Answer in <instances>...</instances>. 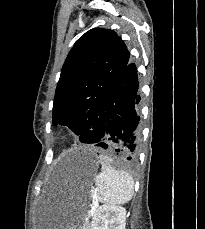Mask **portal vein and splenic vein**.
<instances>
[{"label": "portal vein and splenic vein", "mask_w": 205, "mask_h": 229, "mask_svg": "<svg viewBox=\"0 0 205 229\" xmlns=\"http://www.w3.org/2000/svg\"><path fill=\"white\" fill-rule=\"evenodd\" d=\"M97 205H98V201L96 199H94L93 203H92L91 210L89 211V216L94 214Z\"/></svg>", "instance_id": "obj_1"}]
</instances>
